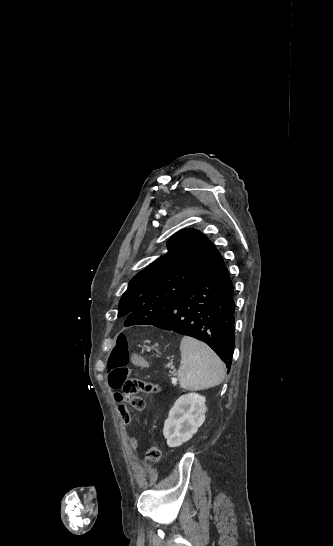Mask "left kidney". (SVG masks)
Listing matches in <instances>:
<instances>
[{"mask_svg":"<svg viewBox=\"0 0 333 546\" xmlns=\"http://www.w3.org/2000/svg\"><path fill=\"white\" fill-rule=\"evenodd\" d=\"M205 397L197 393L180 396L169 411L163 434L169 447L188 441L205 421Z\"/></svg>","mask_w":333,"mask_h":546,"instance_id":"5707ae66","label":"left kidney"}]
</instances>
